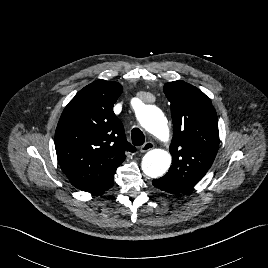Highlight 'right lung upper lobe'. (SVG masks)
Segmentation results:
<instances>
[{
	"label": "right lung upper lobe",
	"instance_id": "obj_1",
	"mask_svg": "<svg viewBox=\"0 0 268 268\" xmlns=\"http://www.w3.org/2000/svg\"><path fill=\"white\" fill-rule=\"evenodd\" d=\"M122 90L118 82L94 81L75 95L58 122V162L70 183L82 191L96 194L111 188L125 151H136L112 110Z\"/></svg>",
	"mask_w": 268,
	"mask_h": 268
}]
</instances>
